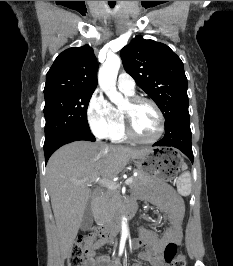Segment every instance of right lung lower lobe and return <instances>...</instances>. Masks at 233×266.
<instances>
[{"label": "right lung lower lobe", "mask_w": 233, "mask_h": 266, "mask_svg": "<svg viewBox=\"0 0 233 266\" xmlns=\"http://www.w3.org/2000/svg\"><path fill=\"white\" fill-rule=\"evenodd\" d=\"M78 140H87V141H95L94 135L87 130H78L71 131L68 133H64L55 139L44 143V153H45V161L47 162L49 157L55 152L59 147Z\"/></svg>", "instance_id": "obj_1"}]
</instances>
